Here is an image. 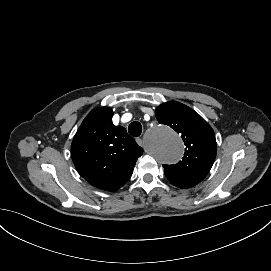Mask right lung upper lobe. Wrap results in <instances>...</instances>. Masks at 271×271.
Wrapping results in <instances>:
<instances>
[{
	"label": "right lung upper lobe",
	"mask_w": 271,
	"mask_h": 271,
	"mask_svg": "<svg viewBox=\"0 0 271 271\" xmlns=\"http://www.w3.org/2000/svg\"><path fill=\"white\" fill-rule=\"evenodd\" d=\"M112 116L108 107L92 110L71 144L72 160L79 173L106 191H116L130 179L143 153L124 127L113 125Z\"/></svg>",
	"instance_id": "1"
}]
</instances>
